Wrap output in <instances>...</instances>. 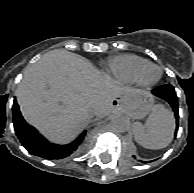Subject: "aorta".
I'll return each instance as SVG.
<instances>
[{"instance_id":"762f6f07","label":"aorta","mask_w":194,"mask_h":193,"mask_svg":"<svg viewBox=\"0 0 194 193\" xmlns=\"http://www.w3.org/2000/svg\"><path fill=\"white\" fill-rule=\"evenodd\" d=\"M110 127L113 132L124 133L129 128V122L126 118L122 116H115L110 122Z\"/></svg>"}]
</instances>
